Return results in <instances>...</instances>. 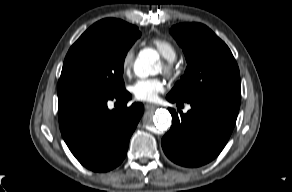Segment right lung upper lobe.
Instances as JSON below:
<instances>
[{
    "label": "right lung upper lobe",
    "instance_id": "right-lung-upper-lobe-1",
    "mask_svg": "<svg viewBox=\"0 0 292 192\" xmlns=\"http://www.w3.org/2000/svg\"><path fill=\"white\" fill-rule=\"evenodd\" d=\"M108 20H111L113 22H116L118 24H120L123 28H125L126 30H130V29H133L135 28V26L133 25H130L122 20H118V19H113V18H108Z\"/></svg>",
    "mask_w": 292,
    "mask_h": 192
}]
</instances>
